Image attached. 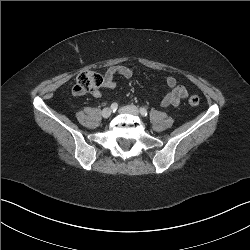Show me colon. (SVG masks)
Returning <instances> with one entry per match:
<instances>
[{"label": "colon", "instance_id": "colon-1", "mask_svg": "<svg viewBox=\"0 0 250 250\" xmlns=\"http://www.w3.org/2000/svg\"><path fill=\"white\" fill-rule=\"evenodd\" d=\"M102 81L103 80L98 73L93 71H83L77 75L72 91L76 95L93 92L102 84ZM189 103L192 106H197L200 103V99L198 96L192 95L189 98Z\"/></svg>", "mask_w": 250, "mask_h": 250}]
</instances>
